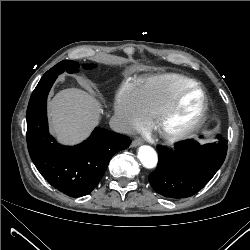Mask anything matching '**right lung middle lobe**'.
<instances>
[{
    "mask_svg": "<svg viewBox=\"0 0 250 250\" xmlns=\"http://www.w3.org/2000/svg\"><path fill=\"white\" fill-rule=\"evenodd\" d=\"M79 64L75 61L64 60L58 64H56L53 68L47 71L42 78H47L49 76H58L60 73L67 71L68 73L78 72L79 71ZM97 65L95 64H84V69H93L96 68Z\"/></svg>",
    "mask_w": 250,
    "mask_h": 250,
    "instance_id": "obj_1",
    "label": "right lung middle lobe"
}]
</instances>
